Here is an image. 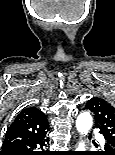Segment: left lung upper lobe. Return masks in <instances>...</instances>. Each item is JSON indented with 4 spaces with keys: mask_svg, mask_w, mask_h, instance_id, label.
Returning a JSON list of instances; mask_svg holds the SVG:
<instances>
[{
    "mask_svg": "<svg viewBox=\"0 0 115 155\" xmlns=\"http://www.w3.org/2000/svg\"><path fill=\"white\" fill-rule=\"evenodd\" d=\"M84 109L94 113L95 127L105 138V150L100 155H115V108L103 99L92 98Z\"/></svg>",
    "mask_w": 115,
    "mask_h": 155,
    "instance_id": "obj_1",
    "label": "left lung upper lobe"
}]
</instances>
